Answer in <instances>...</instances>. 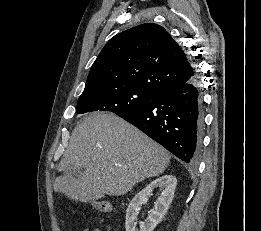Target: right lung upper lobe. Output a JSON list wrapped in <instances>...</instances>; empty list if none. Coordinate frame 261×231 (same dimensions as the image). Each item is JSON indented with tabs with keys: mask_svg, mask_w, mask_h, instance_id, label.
<instances>
[{
	"mask_svg": "<svg viewBox=\"0 0 261 231\" xmlns=\"http://www.w3.org/2000/svg\"><path fill=\"white\" fill-rule=\"evenodd\" d=\"M193 77L178 43L163 27L146 23L117 34L104 46L82 94L132 86L158 95Z\"/></svg>",
	"mask_w": 261,
	"mask_h": 231,
	"instance_id": "obj_1",
	"label": "right lung upper lobe"
}]
</instances>
